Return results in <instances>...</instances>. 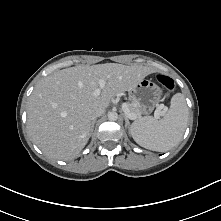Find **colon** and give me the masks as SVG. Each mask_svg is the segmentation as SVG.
<instances>
[{"instance_id":"obj_1","label":"colon","mask_w":221,"mask_h":221,"mask_svg":"<svg viewBox=\"0 0 221 221\" xmlns=\"http://www.w3.org/2000/svg\"><path fill=\"white\" fill-rule=\"evenodd\" d=\"M157 80L163 86L167 95L173 90L174 82L170 77L165 75H158Z\"/></svg>"}]
</instances>
